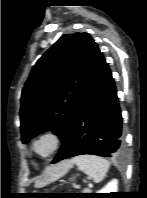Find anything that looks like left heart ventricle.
<instances>
[{
    "mask_svg": "<svg viewBox=\"0 0 147 198\" xmlns=\"http://www.w3.org/2000/svg\"><path fill=\"white\" fill-rule=\"evenodd\" d=\"M50 147H51V142L46 139V140L41 141L38 144L37 149H38L39 153L45 154L50 150Z\"/></svg>",
    "mask_w": 147,
    "mask_h": 198,
    "instance_id": "1",
    "label": "left heart ventricle"
}]
</instances>
